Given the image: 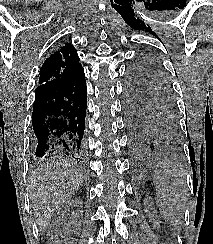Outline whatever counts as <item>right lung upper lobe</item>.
I'll return each mask as SVG.
<instances>
[{"label":"right lung upper lobe","instance_id":"right-lung-upper-lobe-1","mask_svg":"<svg viewBox=\"0 0 213 244\" xmlns=\"http://www.w3.org/2000/svg\"><path fill=\"white\" fill-rule=\"evenodd\" d=\"M82 66L73 45L59 46L40 68L39 85L55 86L74 76Z\"/></svg>","mask_w":213,"mask_h":244}]
</instances>
